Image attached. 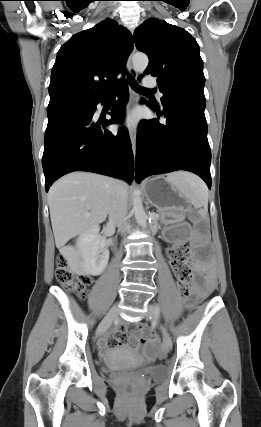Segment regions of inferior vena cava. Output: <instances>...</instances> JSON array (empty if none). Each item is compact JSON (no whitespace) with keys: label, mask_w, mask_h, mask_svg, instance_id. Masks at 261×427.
<instances>
[{"label":"inferior vena cava","mask_w":261,"mask_h":427,"mask_svg":"<svg viewBox=\"0 0 261 427\" xmlns=\"http://www.w3.org/2000/svg\"><path fill=\"white\" fill-rule=\"evenodd\" d=\"M127 203L128 193L124 184L120 180H115V186L112 193L111 204L109 208V222L118 226L122 234L129 230L127 223Z\"/></svg>","instance_id":"obj_1"}]
</instances>
